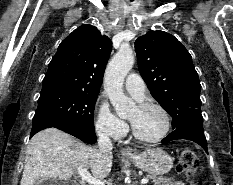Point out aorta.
<instances>
[{"label": "aorta", "instance_id": "obj_1", "mask_svg": "<svg viewBox=\"0 0 233 185\" xmlns=\"http://www.w3.org/2000/svg\"><path fill=\"white\" fill-rule=\"evenodd\" d=\"M134 60L132 51L121 48L111 59L105 72L104 90L120 118L127 117L135 107L133 100L123 92L124 79L132 69Z\"/></svg>", "mask_w": 233, "mask_h": 185}]
</instances>
